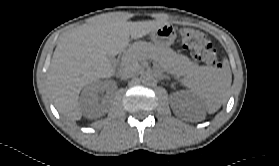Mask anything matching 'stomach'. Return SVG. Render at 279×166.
I'll use <instances>...</instances> for the list:
<instances>
[{"mask_svg": "<svg viewBox=\"0 0 279 166\" xmlns=\"http://www.w3.org/2000/svg\"><path fill=\"white\" fill-rule=\"evenodd\" d=\"M151 39L159 47H169L176 39V32L171 24H165L151 33Z\"/></svg>", "mask_w": 279, "mask_h": 166, "instance_id": "0dacf381", "label": "stomach"}]
</instances>
